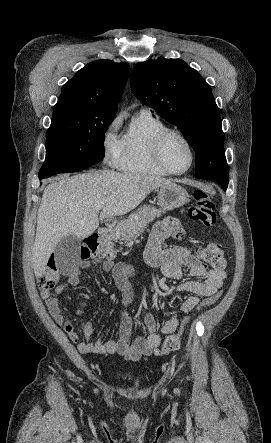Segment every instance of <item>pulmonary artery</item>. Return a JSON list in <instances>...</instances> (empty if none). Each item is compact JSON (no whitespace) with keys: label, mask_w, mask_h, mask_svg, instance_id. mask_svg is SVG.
<instances>
[{"label":"pulmonary artery","mask_w":271,"mask_h":443,"mask_svg":"<svg viewBox=\"0 0 271 443\" xmlns=\"http://www.w3.org/2000/svg\"><path fill=\"white\" fill-rule=\"evenodd\" d=\"M141 111H149V109L146 108V107H142V108H141Z\"/></svg>","instance_id":"e3ab8cb5"}]
</instances>
